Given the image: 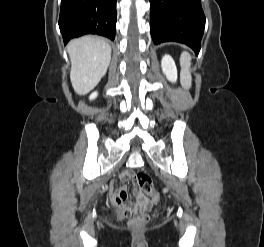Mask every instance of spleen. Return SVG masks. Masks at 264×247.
Listing matches in <instances>:
<instances>
[{
	"instance_id": "obj_1",
	"label": "spleen",
	"mask_w": 264,
	"mask_h": 247,
	"mask_svg": "<svg viewBox=\"0 0 264 247\" xmlns=\"http://www.w3.org/2000/svg\"><path fill=\"white\" fill-rule=\"evenodd\" d=\"M181 65V83L185 89H189L192 83V76L189 71L191 65V56L188 52H183L180 57Z\"/></svg>"
}]
</instances>
